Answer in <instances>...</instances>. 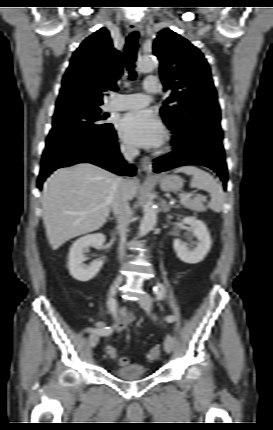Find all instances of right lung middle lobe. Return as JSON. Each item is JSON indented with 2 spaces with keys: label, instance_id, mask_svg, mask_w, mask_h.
I'll use <instances>...</instances> for the list:
<instances>
[{
  "label": "right lung middle lobe",
  "instance_id": "right-lung-middle-lobe-1",
  "mask_svg": "<svg viewBox=\"0 0 273 430\" xmlns=\"http://www.w3.org/2000/svg\"><path fill=\"white\" fill-rule=\"evenodd\" d=\"M99 105L75 100L56 107L53 128L45 151L81 141L106 138L114 132L113 126L104 123Z\"/></svg>",
  "mask_w": 273,
  "mask_h": 430
}]
</instances>
